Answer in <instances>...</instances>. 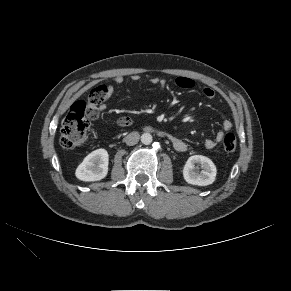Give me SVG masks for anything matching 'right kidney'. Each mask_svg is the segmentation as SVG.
<instances>
[{
    "mask_svg": "<svg viewBox=\"0 0 291 291\" xmlns=\"http://www.w3.org/2000/svg\"><path fill=\"white\" fill-rule=\"evenodd\" d=\"M108 163V152L105 149H97L84 158L75 175L82 181H99L107 175Z\"/></svg>",
    "mask_w": 291,
    "mask_h": 291,
    "instance_id": "right-kidney-1",
    "label": "right kidney"
}]
</instances>
